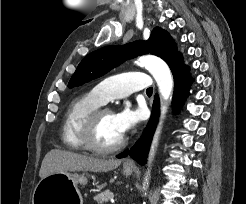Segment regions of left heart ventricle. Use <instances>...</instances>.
<instances>
[{"instance_id": "1", "label": "left heart ventricle", "mask_w": 246, "mask_h": 204, "mask_svg": "<svg viewBox=\"0 0 246 204\" xmlns=\"http://www.w3.org/2000/svg\"><path fill=\"white\" fill-rule=\"evenodd\" d=\"M123 136L124 134L119 131L115 123L113 114L106 113L100 118L95 131V140L99 145L111 146Z\"/></svg>"}]
</instances>
